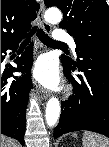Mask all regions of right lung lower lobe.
Masks as SVG:
<instances>
[{
    "label": "right lung lower lobe",
    "mask_w": 109,
    "mask_h": 147,
    "mask_svg": "<svg viewBox=\"0 0 109 147\" xmlns=\"http://www.w3.org/2000/svg\"><path fill=\"white\" fill-rule=\"evenodd\" d=\"M22 38L23 36L1 45V62L4 59L2 53H6L8 49H16ZM32 45L15 60L17 68L9 66L1 69V133L17 139L22 145L25 143L26 107L32 83L29 75L14 77L13 80L9 78L15 71L29 73L33 60Z\"/></svg>",
    "instance_id": "right-lung-lower-lobe-1"
}]
</instances>
